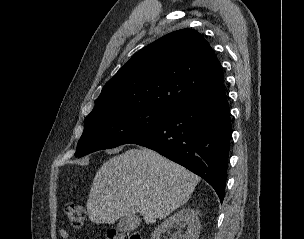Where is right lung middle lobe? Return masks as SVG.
Returning a JSON list of instances; mask_svg holds the SVG:
<instances>
[{
    "label": "right lung middle lobe",
    "instance_id": "1",
    "mask_svg": "<svg viewBox=\"0 0 304 239\" xmlns=\"http://www.w3.org/2000/svg\"><path fill=\"white\" fill-rule=\"evenodd\" d=\"M169 114L149 107H128L86 117L75 155L80 158L129 143L162 124Z\"/></svg>",
    "mask_w": 304,
    "mask_h": 239
}]
</instances>
